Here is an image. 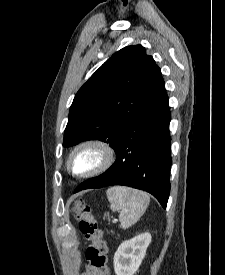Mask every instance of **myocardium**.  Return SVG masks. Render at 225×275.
<instances>
[{
	"label": "myocardium",
	"mask_w": 225,
	"mask_h": 275,
	"mask_svg": "<svg viewBox=\"0 0 225 275\" xmlns=\"http://www.w3.org/2000/svg\"><path fill=\"white\" fill-rule=\"evenodd\" d=\"M84 151L94 152L98 157L97 162L94 166L84 171L76 172L72 168L73 159L78 154ZM114 160H115V153L110 145L98 140H86L77 144L71 150L66 161V169L72 176L79 177V178H87L106 171L112 166V164L114 163Z\"/></svg>",
	"instance_id": "myocardium-1"
}]
</instances>
